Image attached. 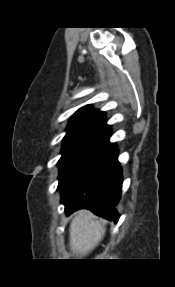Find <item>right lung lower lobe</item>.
Listing matches in <instances>:
<instances>
[{"instance_id":"98d812e1","label":"right lung lower lobe","mask_w":175,"mask_h":287,"mask_svg":"<svg viewBox=\"0 0 175 287\" xmlns=\"http://www.w3.org/2000/svg\"><path fill=\"white\" fill-rule=\"evenodd\" d=\"M117 152V146L107 138L62 180L58 189L66 214L86 208L118 221L115 206L121 197L123 177Z\"/></svg>"}]
</instances>
